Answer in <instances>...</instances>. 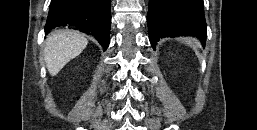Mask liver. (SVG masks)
<instances>
[{"label":"liver","instance_id":"obj_1","mask_svg":"<svg viewBox=\"0 0 257 130\" xmlns=\"http://www.w3.org/2000/svg\"><path fill=\"white\" fill-rule=\"evenodd\" d=\"M88 40L79 32L73 30H57L46 40L44 60L52 76L86 48Z\"/></svg>","mask_w":257,"mask_h":130}]
</instances>
